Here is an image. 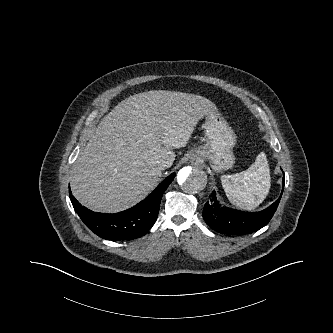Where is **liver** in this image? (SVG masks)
I'll list each match as a JSON object with an SVG mask.
<instances>
[{"instance_id":"1","label":"liver","mask_w":333,"mask_h":333,"mask_svg":"<svg viewBox=\"0 0 333 333\" xmlns=\"http://www.w3.org/2000/svg\"><path fill=\"white\" fill-rule=\"evenodd\" d=\"M216 106L199 95L151 90L121 101L99 123L73 165L72 195L85 207L117 213L158 184L157 161L171 167L199 120Z\"/></svg>"}]
</instances>
